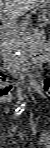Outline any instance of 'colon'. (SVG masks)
<instances>
[{
	"label": "colon",
	"mask_w": 50,
	"mask_h": 148,
	"mask_svg": "<svg viewBox=\"0 0 50 148\" xmlns=\"http://www.w3.org/2000/svg\"><path fill=\"white\" fill-rule=\"evenodd\" d=\"M3 81H4V84L0 89V96L2 98H7L11 95L13 88L9 84L8 78L6 76L3 77ZM44 85H45V88L48 89V82L47 81L44 82Z\"/></svg>",
	"instance_id": "colon-1"
}]
</instances>
